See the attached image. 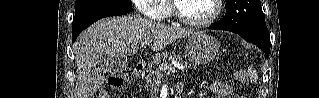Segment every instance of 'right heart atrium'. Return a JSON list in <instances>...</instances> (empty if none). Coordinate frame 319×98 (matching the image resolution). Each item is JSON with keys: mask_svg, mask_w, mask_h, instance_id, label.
I'll use <instances>...</instances> for the list:
<instances>
[{"mask_svg": "<svg viewBox=\"0 0 319 98\" xmlns=\"http://www.w3.org/2000/svg\"><path fill=\"white\" fill-rule=\"evenodd\" d=\"M134 3L148 18L160 20L166 15V9L161 0H135Z\"/></svg>", "mask_w": 319, "mask_h": 98, "instance_id": "right-heart-atrium-1", "label": "right heart atrium"}]
</instances>
